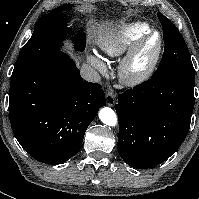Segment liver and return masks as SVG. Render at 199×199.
Masks as SVG:
<instances>
[{
	"label": "liver",
	"instance_id": "liver-1",
	"mask_svg": "<svg viewBox=\"0 0 199 199\" xmlns=\"http://www.w3.org/2000/svg\"><path fill=\"white\" fill-rule=\"evenodd\" d=\"M108 27V23L97 24L98 33L104 32Z\"/></svg>",
	"mask_w": 199,
	"mask_h": 199
}]
</instances>
